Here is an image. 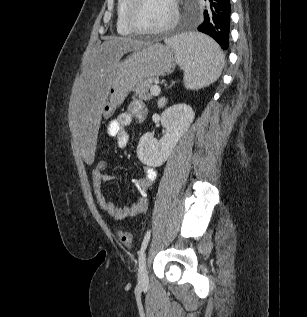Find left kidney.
Returning a JSON list of instances; mask_svg holds the SVG:
<instances>
[{
  "mask_svg": "<svg viewBox=\"0 0 307 317\" xmlns=\"http://www.w3.org/2000/svg\"><path fill=\"white\" fill-rule=\"evenodd\" d=\"M193 109L186 104H175L161 114L165 134L158 141L150 132L145 133L137 146L139 160L151 167L161 166L170 156L179 139L194 120Z\"/></svg>",
  "mask_w": 307,
  "mask_h": 317,
  "instance_id": "5707ae66",
  "label": "left kidney"
}]
</instances>
